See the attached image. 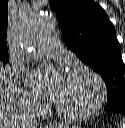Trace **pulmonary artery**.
<instances>
[{"mask_svg":"<svg viewBox=\"0 0 125 128\" xmlns=\"http://www.w3.org/2000/svg\"><path fill=\"white\" fill-rule=\"evenodd\" d=\"M64 49L57 38L48 39L37 50L31 53L37 60L54 59L63 55Z\"/></svg>","mask_w":125,"mask_h":128,"instance_id":"e3ab8cb5","label":"pulmonary artery"}]
</instances>
